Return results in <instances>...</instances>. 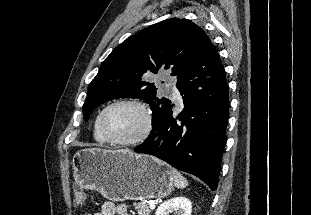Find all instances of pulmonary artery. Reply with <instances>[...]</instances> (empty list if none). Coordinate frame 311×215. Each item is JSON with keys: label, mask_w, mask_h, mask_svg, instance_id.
I'll use <instances>...</instances> for the list:
<instances>
[{"label": "pulmonary artery", "mask_w": 311, "mask_h": 215, "mask_svg": "<svg viewBox=\"0 0 311 215\" xmlns=\"http://www.w3.org/2000/svg\"><path fill=\"white\" fill-rule=\"evenodd\" d=\"M169 90L171 91L172 97L176 100L181 99V95L180 92L178 90V88L176 87L175 82L169 81L167 84Z\"/></svg>", "instance_id": "pulmonary-artery-1"}]
</instances>
